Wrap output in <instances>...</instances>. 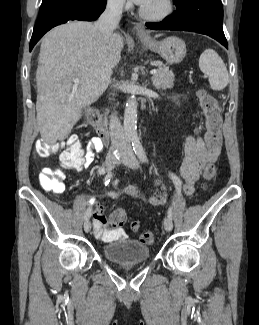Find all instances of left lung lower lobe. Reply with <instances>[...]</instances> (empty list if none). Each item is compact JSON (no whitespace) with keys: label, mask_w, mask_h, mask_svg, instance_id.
<instances>
[{"label":"left lung lower lobe","mask_w":259,"mask_h":325,"mask_svg":"<svg viewBox=\"0 0 259 325\" xmlns=\"http://www.w3.org/2000/svg\"><path fill=\"white\" fill-rule=\"evenodd\" d=\"M177 7L174 13L158 23H146L154 30L191 31L208 35L226 48L222 21L221 0H174Z\"/></svg>","instance_id":"left-lung-lower-lobe-1"}]
</instances>
